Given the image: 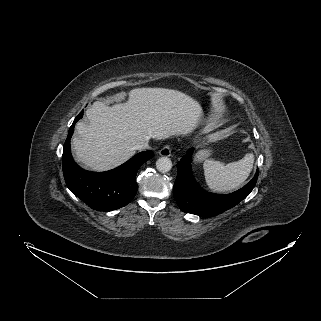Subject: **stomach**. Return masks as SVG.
<instances>
[{
	"mask_svg": "<svg viewBox=\"0 0 321 321\" xmlns=\"http://www.w3.org/2000/svg\"><path fill=\"white\" fill-rule=\"evenodd\" d=\"M210 155H211V150L210 149L199 150L195 155V161L196 162H201L204 159H206L207 157H209Z\"/></svg>",
	"mask_w": 321,
	"mask_h": 321,
	"instance_id": "stomach-1",
	"label": "stomach"
}]
</instances>
